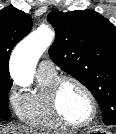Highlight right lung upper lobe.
<instances>
[{"instance_id":"cb5924a9","label":"right lung upper lobe","mask_w":116,"mask_h":134,"mask_svg":"<svg viewBox=\"0 0 116 134\" xmlns=\"http://www.w3.org/2000/svg\"><path fill=\"white\" fill-rule=\"evenodd\" d=\"M32 19L14 7L0 10V79H9V57L14 46L30 33Z\"/></svg>"}]
</instances>
